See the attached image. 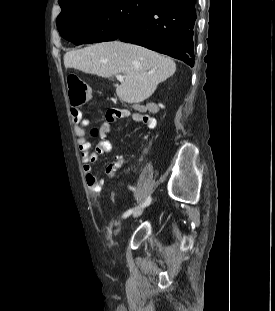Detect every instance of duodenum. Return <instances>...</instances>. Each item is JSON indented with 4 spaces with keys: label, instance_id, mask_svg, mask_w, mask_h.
Returning a JSON list of instances; mask_svg holds the SVG:
<instances>
[{
    "label": "duodenum",
    "instance_id": "410a0bca",
    "mask_svg": "<svg viewBox=\"0 0 275 311\" xmlns=\"http://www.w3.org/2000/svg\"><path fill=\"white\" fill-rule=\"evenodd\" d=\"M94 79H96V82H99V79H97V76H94Z\"/></svg>",
    "mask_w": 275,
    "mask_h": 311
}]
</instances>
